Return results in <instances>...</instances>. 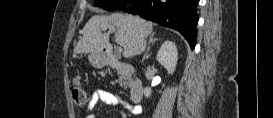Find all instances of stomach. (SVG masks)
<instances>
[{"label": "stomach", "mask_w": 273, "mask_h": 118, "mask_svg": "<svg viewBox=\"0 0 273 118\" xmlns=\"http://www.w3.org/2000/svg\"><path fill=\"white\" fill-rule=\"evenodd\" d=\"M89 61L96 68H102L106 65V57L102 52L91 53Z\"/></svg>", "instance_id": "obj_1"}]
</instances>
